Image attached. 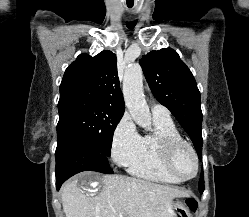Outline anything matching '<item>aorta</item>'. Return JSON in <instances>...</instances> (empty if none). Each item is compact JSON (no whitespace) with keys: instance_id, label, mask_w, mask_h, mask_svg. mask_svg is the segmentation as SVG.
<instances>
[{"instance_id":"aorta-1","label":"aorta","mask_w":249,"mask_h":217,"mask_svg":"<svg viewBox=\"0 0 249 217\" xmlns=\"http://www.w3.org/2000/svg\"><path fill=\"white\" fill-rule=\"evenodd\" d=\"M125 104L133 120L140 127H151V115L143 92V72L138 64L129 67L123 79Z\"/></svg>"}]
</instances>
